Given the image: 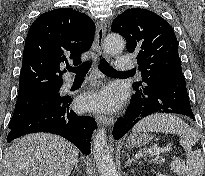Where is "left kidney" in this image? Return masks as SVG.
Listing matches in <instances>:
<instances>
[{"label": "left kidney", "instance_id": "5707ae66", "mask_svg": "<svg viewBox=\"0 0 205 176\" xmlns=\"http://www.w3.org/2000/svg\"><path fill=\"white\" fill-rule=\"evenodd\" d=\"M157 176H165V175H163V174H159V173H158Z\"/></svg>", "mask_w": 205, "mask_h": 176}]
</instances>
